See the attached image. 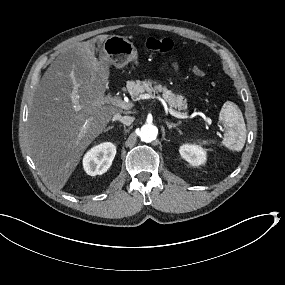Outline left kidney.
I'll list each match as a JSON object with an SVG mask.
<instances>
[{
	"mask_svg": "<svg viewBox=\"0 0 285 285\" xmlns=\"http://www.w3.org/2000/svg\"><path fill=\"white\" fill-rule=\"evenodd\" d=\"M180 153L183 158L193 165H200L205 160V154L202 149L184 145L180 148Z\"/></svg>",
	"mask_w": 285,
	"mask_h": 285,
	"instance_id": "5707ae66",
	"label": "left kidney"
}]
</instances>
